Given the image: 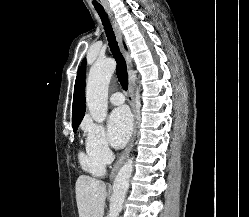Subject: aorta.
Masks as SVG:
<instances>
[{
  "label": "aorta",
  "instance_id": "1",
  "mask_svg": "<svg viewBox=\"0 0 249 217\" xmlns=\"http://www.w3.org/2000/svg\"><path fill=\"white\" fill-rule=\"evenodd\" d=\"M115 61L105 59L96 62L88 76L86 104L90 115L97 123H102L107 115L108 85L115 71ZM133 172V158L128 159L120 168L114 183L108 217H118L122 210L126 192Z\"/></svg>",
  "mask_w": 249,
  "mask_h": 217
}]
</instances>
